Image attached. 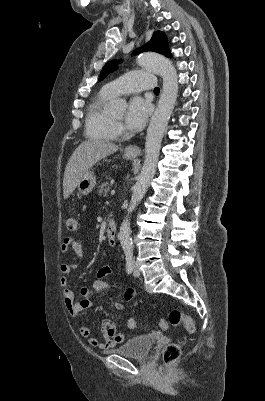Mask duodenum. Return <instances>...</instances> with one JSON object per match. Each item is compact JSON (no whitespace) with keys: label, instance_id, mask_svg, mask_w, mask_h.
Returning <instances> with one entry per match:
<instances>
[{"label":"duodenum","instance_id":"410a0bca","mask_svg":"<svg viewBox=\"0 0 265 401\" xmlns=\"http://www.w3.org/2000/svg\"><path fill=\"white\" fill-rule=\"evenodd\" d=\"M106 239L110 246H115L117 239V226L114 220L110 219L106 229Z\"/></svg>","mask_w":265,"mask_h":401}]
</instances>
